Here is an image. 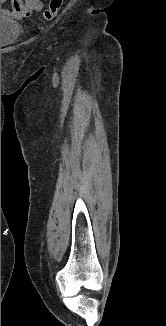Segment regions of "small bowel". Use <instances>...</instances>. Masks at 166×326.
I'll return each mask as SVG.
<instances>
[{
    "instance_id": "1",
    "label": "small bowel",
    "mask_w": 166,
    "mask_h": 326,
    "mask_svg": "<svg viewBox=\"0 0 166 326\" xmlns=\"http://www.w3.org/2000/svg\"><path fill=\"white\" fill-rule=\"evenodd\" d=\"M7 0H1V3ZM41 0H11V8L4 10V14L12 16L14 19H22L28 17L33 12H38L42 9Z\"/></svg>"
}]
</instances>
